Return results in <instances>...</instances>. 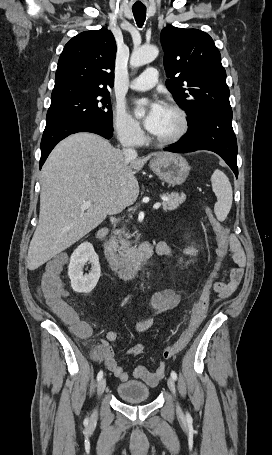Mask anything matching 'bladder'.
<instances>
[{"instance_id":"bladder-1","label":"bladder","mask_w":272,"mask_h":455,"mask_svg":"<svg viewBox=\"0 0 272 455\" xmlns=\"http://www.w3.org/2000/svg\"><path fill=\"white\" fill-rule=\"evenodd\" d=\"M117 395L125 402L138 404L147 402L150 398V389L139 381H126L116 388Z\"/></svg>"}]
</instances>
